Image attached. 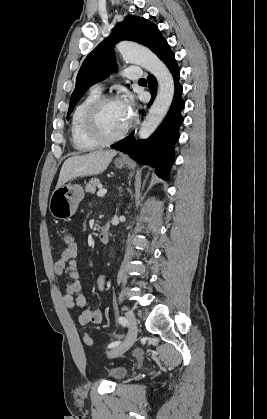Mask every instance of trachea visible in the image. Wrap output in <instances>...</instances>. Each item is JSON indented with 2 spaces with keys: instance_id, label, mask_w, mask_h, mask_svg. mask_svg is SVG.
I'll list each match as a JSON object with an SVG mask.
<instances>
[{
  "instance_id": "1",
  "label": "trachea",
  "mask_w": 267,
  "mask_h": 419,
  "mask_svg": "<svg viewBox=\"0 0 267 419\" xmlns=\"http://www.w3.org/2000/svg\"><path fill=\"white\" fill-rule=\"evenodd\" d=\"M143 81H146V80L144 78H142V79L139 80V82H143Z\"/></svg>"
}]
</instances>
